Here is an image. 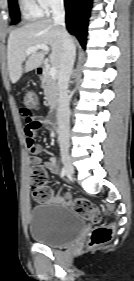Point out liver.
<instances>
[{
	"label": "liver",
	"mask_w": 134,
	"mask_h": 281,
	"mask_svg": "<svg viewBox=\"0 0 134 281\" xmlns=\"http://www.w3.org/2000/svg\"><path fill=\"white\" fill-rule=\"evenodd\" d=\"M39 44L50 46L49 61L59 68L63 52L61 32L60 27L52 19L27 23L10 33L7 45V66L9 78L13 84L24 72L32 71L42 65L45 56L43 50L38 49L26 54L27 48Z\"/></svg>",
	"instance_id": "6515ba94"
}]
</instances>
